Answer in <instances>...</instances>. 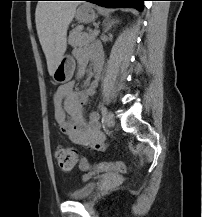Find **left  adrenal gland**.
<instances>
[{"label":"left adrenal gland","mask_w":202,"mask_h":217,"mask_svg":"<svg viewBox=\"0 0 202 217\" xmlns=\"http://www.w3.org/2000/svg\"><path fill=\"white\" fill-rule=\"evenodd\" d=\"M117 22V20L115 21L114 19L113 20H111L110 22H108V23H105L104 24V31L105 32H107L108 30H110L111 29V27H112V25L114 24V23H116Z\"/></svg>","instance_id":"1"}]
</instances>
